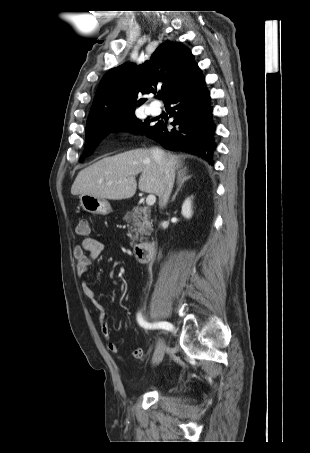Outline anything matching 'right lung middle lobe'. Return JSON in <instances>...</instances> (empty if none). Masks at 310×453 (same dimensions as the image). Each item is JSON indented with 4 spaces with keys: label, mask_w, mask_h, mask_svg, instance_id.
I'll return each instance as SVG.
<instances>
[{
    "label": "right lung middle lobe",
    "mask_w": 310,
    "mask_h": 453,
    "mask_svg": "<svg viewBox=\"0 0 310 453\" xmlns=\"http://www.w3.org/2000/svg\"><path fill=\"white\" fill-rule=\"evenodd\" d=\"M150 127L149 118L142 122L133 112L112 121L88 128L86 129L85 149L79 161L82 162L87 156L91 155L100 139L111 131L130 129L134 132L145 134Z\"/></svg>",
    "instance_id": "right-lung-middle-lobe-1"
}]
</instances>
